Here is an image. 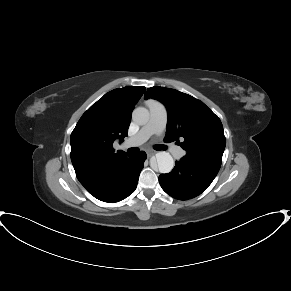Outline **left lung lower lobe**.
<instances>
[{"label":"left lung lower lobe","mask_w":291,"mask_h":291,"mask_svg":"<svg viewBox=\"0 0 291 291\" xmlns=\"http://www.w3.org/2000/svg\"><path fill=\"white\" fill-rule=\"evenodd\" d=\"M219 169L220 166L183 157L176 161V166L170 173L159 176V182L168 195L187 200L205 191Z\"/></svg>","instance_id":"left-lung-lower-lobe-1"}]
</instances>
